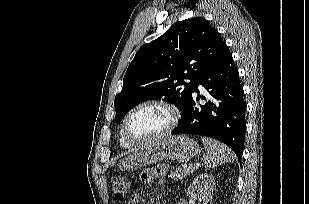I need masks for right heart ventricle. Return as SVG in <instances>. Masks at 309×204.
Segmentation results:
<instances>
[{"label": "right heart ventricle", "mask_w": 309, "mask_h": 204, "mask_svg": "<svg viewBox=\"0 0 309 204\" xmlns=\"http://www.w3.org/2000/svg\"><path fill=\"white\" fill-rule=\"evenodd\" d=\"M120 144L122 147H129L130 145L123 139L122 135L120 134Z\"/></svg>", "instance_id": "1"}]
</instances>
